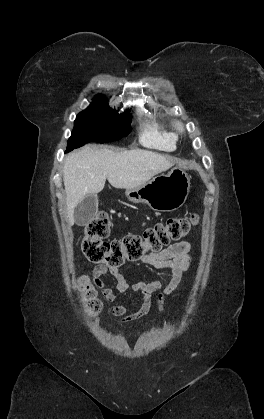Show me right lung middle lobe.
<instances>
[{
	"label": "right lung middle lobe",
	"instance_id": "obj_1",
	"mask_svg": "<svg viewBox=\"0 0 264 419\" xmlns=\"http://www.w3.org/2000/svg\"><path fill=\"white\" fill-rule=\"evenodd\" d=\"M130 118L129 111L118 114L107 105L104 97H95L94 102L77 115L66 152L87 142L107 143L121 139L131 131Z\"/></svg>",
	"mask_w": 264,
	"mask_h": 419
}]
</instances>
